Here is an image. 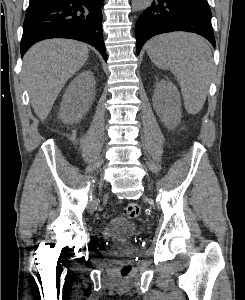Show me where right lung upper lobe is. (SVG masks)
Returning a JSON list of instances; mask_svg holds the SVG:
<instances>
[{
	"mask_svg": "<svg viewBox=\"0 0 245 300\" xmlns=\"http://www.w3.org/2000/svg\"><path fill=\"white\" fill-rule=\"evenodd\" d=\"M35 1H38V0H30V2H35Z\"/></svg>",
	"mask_w": 245,
	"mask_h": 300,
	"instance_id": "cb5924a9",
	"label": "right lung upper lobe"
}]
</instances>
